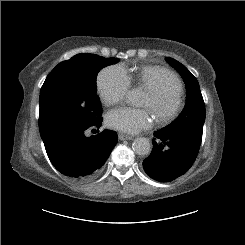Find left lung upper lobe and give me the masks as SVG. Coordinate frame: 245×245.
Masks as SVG:
<instances>
[{
	"label": "left lung upper lobe",
	"mask_w": 245,
	"mask_h": 245,
	"mask_svg": "<svg viewBox=\"0 0 245 245\" xmlns=\"http://www.w3.org/2000/svg\"><path fill=\"white\" fill-rule=\"evenodd\" d=\"M166 60L183 78L187 89V101L182 113L160 131L167 135L190 139L200 145L205 121V104L199 84L193 74L180 62L170 57Z\"/></svg>",
	"instance_id": "5c2ea615"
}]
</instances>
